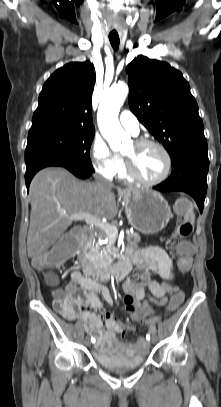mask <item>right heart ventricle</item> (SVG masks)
<instances>
[{"instance_id":"obj_1","label":"right heart ventricle","mask_w":221,"mask_h":407,"mask_svg":"<svg viewBox=\"0 0 221 407\" xmlns=\"http://www.w3.org/2000/svg\"><path fill=\"white\" fill-rule=\"evenodd\" d=\"M119 177L122 179H130V177L128 176L127 172H126V168H125V164L122 160L120 169L118 171Z\"/></svg>"}]
</instances>
